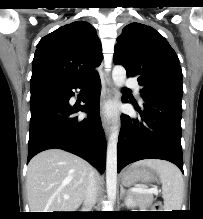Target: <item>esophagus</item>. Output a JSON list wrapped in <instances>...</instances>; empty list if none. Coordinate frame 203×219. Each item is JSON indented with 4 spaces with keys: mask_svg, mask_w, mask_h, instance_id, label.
I'll return each instance as SVG.
<instances>
[{
    "mask_svg": "<svg viewBox=\"0 0 203 219\" xmlns=\"http://www.w3.org/2000/svg\"><path fill=\"white\" fill-rule=\"evenodd\" d=\"M114 94L113 83L109 74H106L103 79V88L101 96V118L102 126L105 131L106 136L108 137L111 130V121L110 118L106 115V106L112 100Z\"/></svg>",
    "mask_w": 203,
    "mask_h": 219,
    "instance_id": "obj_1",
    "label": "esophagus"
}]
</instances>
